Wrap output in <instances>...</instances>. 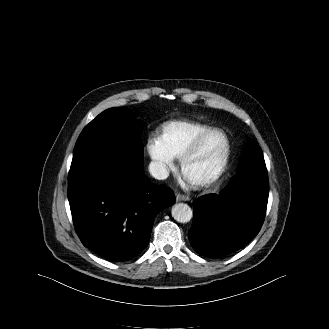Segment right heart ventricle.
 <instances>
[{
  "label": "right heart ventricle",
  "mask_w": 329,
  "mask_h": 329,
  "mask_svg": "<svg viewBox=\"0 0 329 329\" xmlns=\"http://www.w3.org/2000/svg\"><path fill=\"white\" fill-rule=\"evenodd\" d=\"M209 129L210 126L199 122L169 121L161 127L158 139L174 158H180L191 143Z\"/></svg>",
  "instance_id": "1"
}]
</instances>
